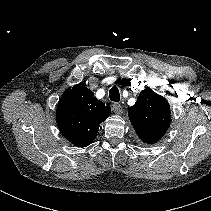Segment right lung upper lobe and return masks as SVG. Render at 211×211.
<instances>
[{
  "instance_id": "1",
  "label": "right lung upper lobe",
  "mask_w": 211,
  "mask_h": 211,
  "mask_svg": "<svg viewBox=\"0 0 211 211\" xmlns=\"http://www.w3.org/2000/svg\"><path fill=\"white\" fill-rule=\"evenodd\" d=\"M59 102L66 104L69 121L65 126L58 127L66 139L78 147L91 144L97 136L100 123L111 113L110 106L94 97V93L81 84L68 88Z\"/></svg>"
}]
</instances>
